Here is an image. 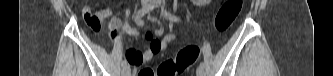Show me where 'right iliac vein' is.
Here are the masks:
<instances>
[{"mask_svg":"<svg viewBox=\"0 0 333 76\" xmlns=\"http://www.w3.org/2000/svg\"><path fill=\"white\" fill-rule=\"evenodd\" d=\"M129 75H130V69L129 68H125V69L122 70V76H129Z\"/></svg>","mask_w":333,"mask_h":76,"instance_id":"1","label":"right iliac vein"}]
</instances>
